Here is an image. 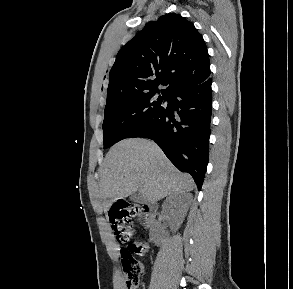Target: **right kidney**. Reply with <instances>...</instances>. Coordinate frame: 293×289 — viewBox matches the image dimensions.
I'll use <instances>...</instances> for the list:
<instances>
[{"instance_id": "1", "label": "right kidney", "mask_w": 293, "mask_h": 289, "mask_svg": "<svg viewBox=\"0 0 293 289\" xmlns=\"http://www.w3.org/2000/svg\"><path fill=\"white\" fill-rule=\"evenodd\" d=\"M163 209L172 216L171 229L176 230L183 222L186 214V205L183 204L178 193L169 196L163 203Z\"/></svg>"}]
</instances>
